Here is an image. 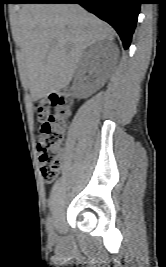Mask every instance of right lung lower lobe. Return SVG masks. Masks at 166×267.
I'll list each match as a JSON object with an SVG mask.
<instances>
[{"mask_svg": "<svg viewBox=\"0 0 166 267\" xmlns=\"http://www.w3.org/2000/svg\"><path fill=\"white\" fill-rule=\"evenodd\" d=\"M19 3H78L108 22L119 34L124 49H127L142 0H20Z\"/></svg>", "mask_w": 166, "mask_h": 267, "instance_id": "obj_1", "label": "right lung lower lobe"}]
</instances>
